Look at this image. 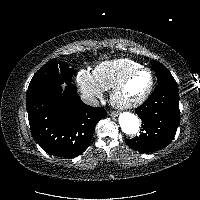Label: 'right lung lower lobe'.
Here are the masks:
<instances>
[{
	"label": "right lung lower lobe",
	"instance_id": "1",
	"mask_svg": "<svg viewBox=\"0 0 200 200\" xmlns=\"http://www.w3.org/2000/svg\"><path fill=\"white\" fill-rule=\"evenodd\" d=\"M26 108L34 140L48 154L69 158L83 153L96 123L107 113L102 107L83 103L71 83L28 89Z\"/></svg>",
	"mask_w": 200,
	"mask_h": 200
}]
</instances>
